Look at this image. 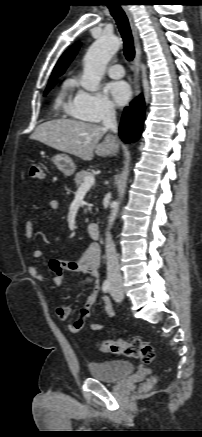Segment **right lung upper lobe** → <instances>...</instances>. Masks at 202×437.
Instances as JSON below:
<instances>
[{
  "instance_id": "1",
  "label": "right lung upper lobe",
  "mask_w": 202,
  "mask_h": 437,
  "mask_svg": "<svg viewBox=\"0 0 202 437\" xmlns=\"http://www.w3.org/2000/svg\"><path fill=\"white\" fill-rule=\"evenodd\" d=\"M79 47L80 43L73 45L60 57L50 77V81H56V78L64 73L65 69L78 52Z\"/></svg>"
}]
</instances>
